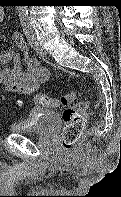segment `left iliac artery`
Wrapping results in <instances>:
<instances>
[{
  "mask_svg": "<svg viewBox=\"0 0 121 197\" xmlns=\"http://www.w3.org/2000/svg\"><path fill=\"white\" fill-rule=\"evenodd\" d=\"M22 27H23V31H24V34L28 40V43L31 47H33L34 45V34H33V31H32V28L31 26L29 25V23L25 20L22 21Z\"/></svg>",
  "mask_w": 121,
  "mask_h": 197,
  "instance_id": "1",
  "label": "left iliac artery"
}]
</instances>
